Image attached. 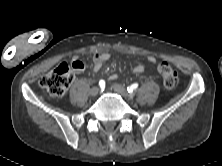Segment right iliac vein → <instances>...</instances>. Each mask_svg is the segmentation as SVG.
<instances>
[{"mask_svg":"<svg viewBox=\"0 0 222 166\" xmlns=\"http://www.w3.org/2000/svg\"><path fill=\"white\" fill-rule=\"evenodd\" d=\"M99 93V88L98 87H93L90 89V95L91 96H96Z\"/></svg>","mask_w":222,"mask_h":166,"instance_id":"1","label":"right iliac vein"}]
</instances>
